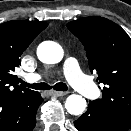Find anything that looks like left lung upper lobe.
Here are the masks:
<instances>
[{
    "label": "left lung upper lobe",
    "instance_id": "left-lung-upper-lobe-1",
    "mask_svg": "<svg viewBox=\"0 0 131 131\" xmlns=\"http://www.w3.org/2000/svg\"><path fill=\"white\" fill-rule=\"evenodd\" d=\"M86 50L91 73L104 85L102 99L91 101L96 110L117 126L131 128V39L114 22L97 16L67 24Z\"/></svg>",
    "mask_w": 131,
    "mask_h": 131
}]
</instances>
